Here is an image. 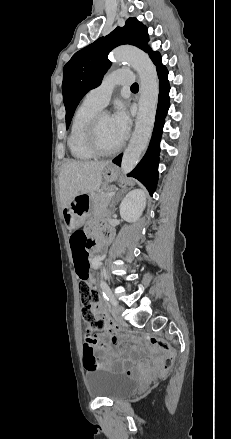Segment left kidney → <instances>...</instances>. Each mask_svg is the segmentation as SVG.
<instances>
[{
    "label": "left kidney",
    "mask_w": 231,
    "mask_h": 439,
    "mask_svg": "<svg viewBox=\"0 0 231 439\" xmlns=\"http://www.w3.org/2000/svg\"><path fill=\"white\" fill-rule=\"evenodd\" d=\"M146 205V193L141 189L130 191L120 204V215L128 222L137 221Z\"/></svg>",
    "instance_id": "left-kidney-1"
}]
</instances>
